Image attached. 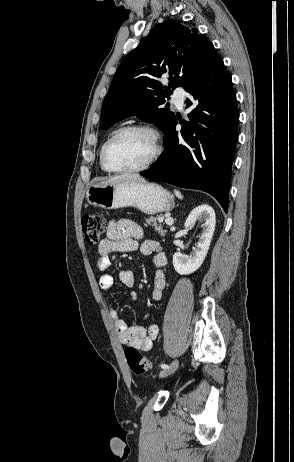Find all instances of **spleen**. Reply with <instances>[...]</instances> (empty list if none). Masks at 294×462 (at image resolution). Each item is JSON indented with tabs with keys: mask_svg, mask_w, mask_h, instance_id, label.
I'll use <instances>...</instances> for the list:
<instances>
[{
	"mask_svg": "<svg viewBox=\"0 0 294 462\" xmlns=\"http://www.w3.org/2000/svg\"><path fill=\"white\" fill-rule=\"evenodd\" d=\"M174 193L179 199L183 198V196L181 195V193L178 190H174Z\"/></svg>",
	"mask_w": 294,
	"mask_h": 462,
	"instance_id": "1",
	"label": "spleen"
}]
</instances>
